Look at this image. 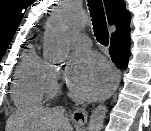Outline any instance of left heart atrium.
<instances>
[{
	"instance_id": "39dd6f15",
	"label": "left heart atrium",
	"mask_w": 151,
	"mask_h": 131,
	"mask_svg": "<svg viewBox=\"0 0 151 131\" xmlns=\"http://www.w3.org/2000/svg\"><path fill=\"white\" fill-rule=\"evenodd\" d=\"M111 72L105 62L94 53H77L68 73L70 90L79 98L93 99L108 87Z\"/></svg>"
}]
</instances>
